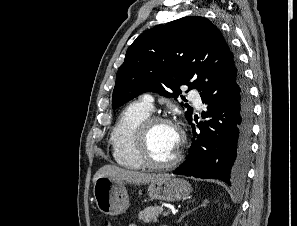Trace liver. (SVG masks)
I'll return each mask as SVG.
<instances>
[{
	"label": "liver",
	"instance_id": "liver-1",
	"mask_svg": "<svg viewBox=\"0 0 297 226\" xmlns=\"http://www.w3.org/2000/svg\"><path fill=\"white\" fill-rule=\"evenodd\" d=\"M170 176L168 174H148L138 171H130L116 167L114 165H105L100 168L93 177V183L95 184L96 180L99 177H111L116 180L127 181L130 183L136 184H145L158 181L164 177Z\"/></svg>",
	"mask_w": 297,
	"mask_h": 226
}]
</instances>
